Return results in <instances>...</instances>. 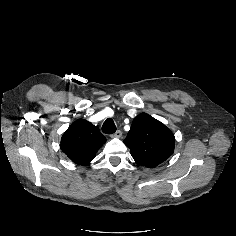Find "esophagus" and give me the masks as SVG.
Wrapping results in <instances>:
<instances>
[{"label": "esophagus", "mask_w": 236, "mask_h": 236, "mask_svg": "<svg viewBox=\"0 0 236 236\" xmlns=\"http://www.w3.org/2000/svg\"><path fill=\"white\" fill-rule=\"evenodd\" d=\"M112 137L121 138L122 132L120 130H117L114 134L111 135Z\"/></svg>", "instance_id": "34e87169"}]
</instances>
